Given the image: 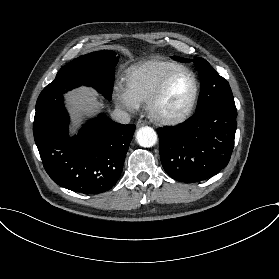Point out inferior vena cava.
<instances>
[{"label": "inferior vena cava", "instance_id": "602c4592", "mask_svg": "<svg viewBox=\"0 0 279 279\" xmlns=\"http://www.w3.org/2000/svg\"><path fill=\"white\" fill-rule=\"evenodd\" d=\"M111 117L118 123L128 124L130 122V116L128 113L121 109H114L111 113Z\"/></svg>", "mask_w": 279, "mask_h": 279}]
</instances>
